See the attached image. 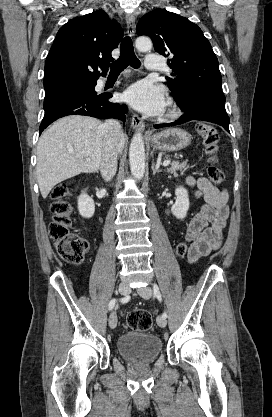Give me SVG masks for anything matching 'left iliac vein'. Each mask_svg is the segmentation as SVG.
<instances>
[{"label":"left iliac vein","instance_id":"obj_1","mask_svg":"<svg viewBox=\"0 0 272 417\" xmlns=\"http://www.w3.org/2000/svg\"><path fill=\"white\" fill-rule=\"evenodd\" d=\"M137 291H138V294L144 299H149L152 295V289L149 286L141 287ZM156 322L158 326L162 328H164L167 324V320L163 316H158L156 319Z\"/></svg>","mask_w":272,"mask_h":417}]
</instances>
